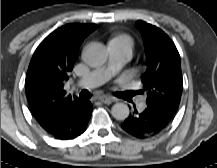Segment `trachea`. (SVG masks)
<instances>
[{
	"instance_id": "obj_1",
	"label": "trachea",
	"mask_w": 217,
	"mask_h": 168,
	"mask_svg": "<svg viewBox=\"0 0 217 168\" xmlns=\"http://www.w3.org/2000/svg\"><path fill=\"white\" fill-rule=\"evenodd\" d=\"M81 98H91V93L88 90H82L79 94Z\"/></svg>"
}]
</instances>
